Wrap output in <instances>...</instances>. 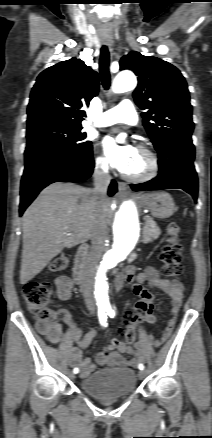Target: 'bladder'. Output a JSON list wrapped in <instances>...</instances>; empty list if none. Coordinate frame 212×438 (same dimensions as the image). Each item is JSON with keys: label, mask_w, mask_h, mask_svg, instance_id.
<instances>
[{"label": "bladder", "mask_w": 212, "mask_h": 438, "mask_svg": "<svg viewBox=\"0 0 212 438\" xmlns=\"http://www.w3.org/2000/svg\"><path fill=\"white\" fill-rule=\"evenodd\" d=\"M82 390L102 399L124 397L136 389V373L127 368L103 369L82 378Z\"/></svg>", "instance_id": "1"}]
</instances>
